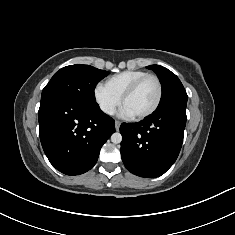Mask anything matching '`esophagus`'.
Returning a JSON list of instances; mask_svg holds the SVG:
<instances>
[{"label": "esophagus", "instance_id": "obj_1", "mask_svg": "<svg viewBox=\"0 0 235 235\" xmlns=\"http://www.w3.org/2000/svg\"><path fill=\"white\" fill-rule=\"evenodd\" d=\"M120 125H121V122H120V121H118V120H116V121H115V128H116V131H118V130H119Z\"/></svg>", "mask_w": 235, "mask_h": 235}]
</instances>
